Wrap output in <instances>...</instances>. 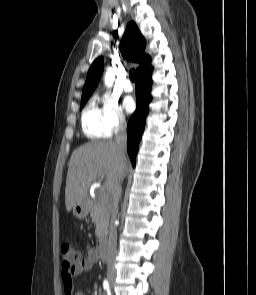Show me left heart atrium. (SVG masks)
<instances>
[{"instance_id": "obj_1", "label": "left heart atrium", "mask_w": 256, "mask_h": 295, "mask_svg": "<svg viewBox=\"0 0 256 295\" xmlns=\"http://www.w3.org/2000/svg\"><path fill=\"white\" fill-rule=\"evenodd\" d=\"M123 107L128 113H131L135 109L134 99L130 96H126L123 99Z\"/></svg>"}]
</instances>
